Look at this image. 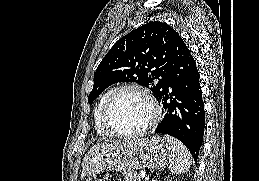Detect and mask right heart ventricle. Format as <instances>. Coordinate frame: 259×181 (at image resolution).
<instances>
[{
    "label": "right heart ventricle",
    "instance_id": "right-heart-ventricle-1",
    "mask_svg": "<svg viewBox=\"0 0 259 181\" xmlns=\"http://www.w3.org/2000/svg\"><path fill=\"white\" fill-rule=\"evenodd\" d=\"M112 91L113 89H109L100 97L93 111V121H94L95 130L97 134L102 137L112 136L103 126L102 120H101L102 108L104 106L105 101L107 100L108 96L111 94Z\"/></svg>",
    "mask_w": 259,
    "mask_h": 181
}]
</instances>
